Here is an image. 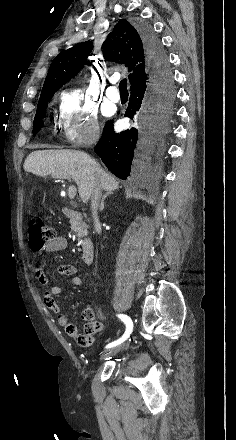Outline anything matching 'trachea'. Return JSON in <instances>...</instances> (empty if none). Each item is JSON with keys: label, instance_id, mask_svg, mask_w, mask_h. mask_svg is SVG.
<instances>
[{"label": "trachea", "instance_id": "trachea-1", "mask_svg": "<svg viewBox=\"0 0 236 440\" xmlns=\"http://www.w3.org/2000/svg\"><path fill=\"white\" fill-rule=\"evenodd\" d=\"M119 90L120 91H128L127 90V79H123L119 83Z\"/></svg>", "mask_w": 236, "mask_h": 440}]
</instances>
